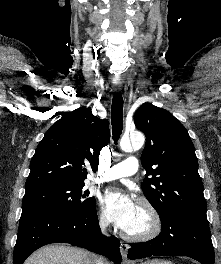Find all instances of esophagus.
Instances as JSON below:
<instances>
[{"label": "esophagus", "instance_id": "34e87169", "mask_svg": "<svg viewBox=\"0 0 221 264\" xmlns=\"http://www.w3.org/2000/svg\"><path fill=\"white\" fill-rule=\"evenodd\" d=\"M113 90L114 92L116 93H120L122 91V87L121 85H114L113 86ZM128 250H129V245L126 244V243H123L121 242L120 243V251H121V255H122V258L125 262H127V254H128Z\"/></svg>", "mask_w": 221, "mask_h": 264}]
</instances>
